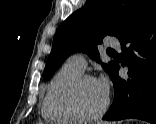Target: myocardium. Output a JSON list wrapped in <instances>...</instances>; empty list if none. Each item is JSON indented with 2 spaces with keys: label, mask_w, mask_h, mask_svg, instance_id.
<instances>
[{
  "label": "myocardium",
  "mask_w": 156,
  "mask_h": 124,
  "mask_svg": "<svg viewBox=\"0 0 156 124\" xmlns=\"http://www.w3.org/2000/svg\"><path fill=\"white\" fill-rule=\"evenodd\" d=\"M85 81H96V79L93 76L81 74L69 84L62 96L63 107L76 121L79 122H90L101 118L110 104L109 95L107 94L105 102L98 112L91 115L84 114L77 106L76 94L81 84Z\"/></svg>",
  "instance_id": "myocardium-1"
}]
</instances>
